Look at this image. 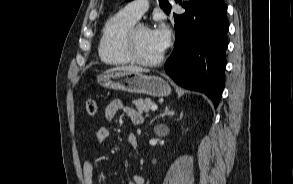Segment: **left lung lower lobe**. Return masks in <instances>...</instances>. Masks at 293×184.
Segmentation results:
<instances>
[{
  "label": "left lung lower lobe",
  "mask_w": 293,
  "mask_h": 184,
  "mask_svg": "<svg viewBox=\"0 0 293 184\" xmlns=\"http://www.w3.org/2000/svg\"><path fill=\"white\" fill-rule=\"evenodd\" d=\"M175 18V45L166 73L180 86L205 93L217 107L225 85L229 29L224 0H190Z\"/></svg>",
  "instance_id": "left-lung-lower-lobe-1"
}]
</instances>
